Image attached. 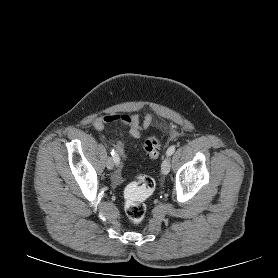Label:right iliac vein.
<instances>
[{
  "instance_id": "obj_1",
  "label": "right iliac vein",
  "mask_w": 278,
  "mask_h": 278,
  "mask_svg": "<svg viewBox=\"0 0 278 278\" xmlns=\"http://www.w3.org/2000/svg\"><path fill=\"white\" fill-rule=\"evenodd\" d=\"M106 167L111 170L114 167V161L112 160V158H108L106 161Z\"/></svg>"
}]
</instances>
